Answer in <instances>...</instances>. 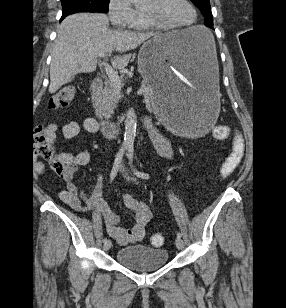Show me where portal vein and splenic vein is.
I'll list each match as a JSON object with an SVG mask.
<instances>
[{"label":"portal vein and splenic vein","instance_id":"portal-vein-and-splenic-vein-1","mask_svg":"<svg viewBox=\"0 0 286 308\" xmlns=\"http://www.w3.org/2000/svg\"><path fill=\"white\" fill-rule=\"evenodd\" d=\"M106 55H107V52H104V51L98 53V56L100 58H104ZM104 67H105V72H106L107 76L109 77L111 83L113 85H115L117 88L121 89V87H122L121 79H120L119 75L117 74V72L108 63H105ZM143 92H144V90H142V89H139L137 91V93L139 95H142Z\"/></svg>","mask_w":286,"mask_h":308}]
</instances>
